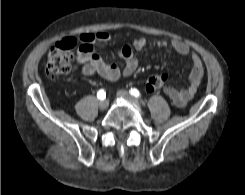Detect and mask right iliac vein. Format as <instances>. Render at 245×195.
I'll return each mask as SVG.
<instances>
[{"mask_svg": "<svg viewBox=\"0 0 245 195\" xmlns=\"http://www.w3.org/2000/svg\"><path fill=\"white\" fill-rule=\"evenodd\" d=\"M100 109H106L108 107V101L107 100H101L99 102Z\"/></svg>", "mask_w": 245, "mask_h": 195, "instance_id": "obj_1", "label": "right iliac vein"}]
</instances>
